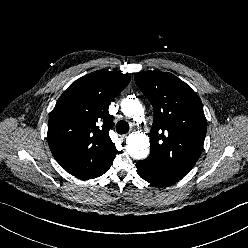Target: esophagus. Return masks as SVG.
Wrapping results in <instances>:
<instances>
[{
    "instance_id": "obj_1",
    "label": "esophagus",
    "mask_w": 248,
    "mask_h": 248,
    "mask_svg": "<svg viewBox=\"0 0 248 248\" xmlns=\"http://www.w3.org/2000/svg\"><path fill=\"white\" fill-rule=\"evenodd\" d=\"M126 136H127V134H123V135H121V138L124 139V138H126Z\"/></svg>"
}]
</instances>
